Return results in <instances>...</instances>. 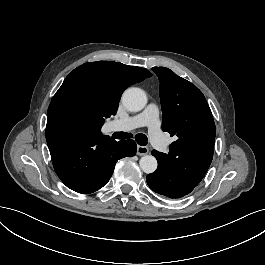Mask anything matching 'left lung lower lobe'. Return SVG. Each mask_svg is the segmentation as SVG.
I'll list each match as a JSON object with an SVG mask.
<instances>
[{
  "label": "left lung lower lobe",
  "mask_w": 265,
  "mask_h": 265,
  "mask_svg": "<svg viewBox=\"0 0 265 265\" xmlns=\"http://www.w3.org/2000/svg\"><path fill=\"white\" fill-rule=\"evenodd\" d=\"M147 184L154 192L173 199L189 194L196 187L178 172L160 162L157 170L147 176Z\"/></svg>",
  "instance_id": "0a47b994"
}]
</instances>
